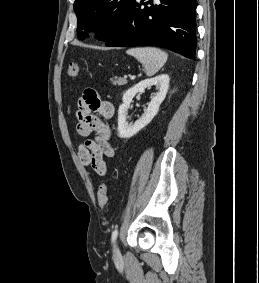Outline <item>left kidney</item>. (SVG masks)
Listing matches in <instances>:
<instances>
[{"label": "left kidney", "mask_w": 259, "mask_h": 283, "mask_svg": "<svg viewBox=\"0 0 259 283\" xmlns=\"http://www.w3.org/2000/svg\"><path fill=\"white\" fill-rule=\"evenodd\" d=\"M169 80L170 79L167 74H162L139 82L123 94V103L120 105L118 110V136L120 138L128 139L134 136L152 121V119L158 113L161 103L166 97L169 87ZM153 85L156 86L158 91L155 96L151 98V102L149 103L147 109L135 123H128L127 114L132 99L137 93L142 92L146 88H150Z\"/></svg>", "instance_id": "left-kidney-1"}]
</instances>
